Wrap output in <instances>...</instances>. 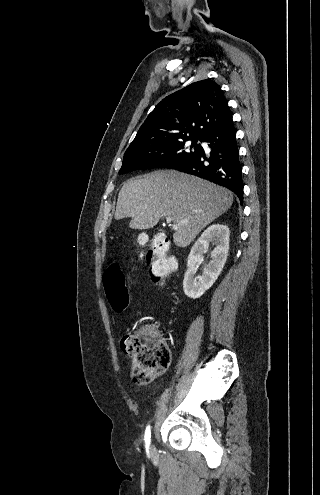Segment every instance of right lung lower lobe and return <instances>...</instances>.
<instances>
[{
  "mask_svg": "<svg viewBox=\"0 0 320 495\" xmlns=\"http://www.w3.org/2000/svg\"><path fill=\"white\" fill-rule=\"evenodd\" d=\"M201 142L207 143L211 149L209 156L200 146L191 158L173 168L224 186L242 202V166L232 119L209 131Z\"/></svg>",
  "mask_w": 320,
  "mask_h": 495,
  "instance_id": "1",
  "label": "right lung lower lobe"
}]
</instances>
